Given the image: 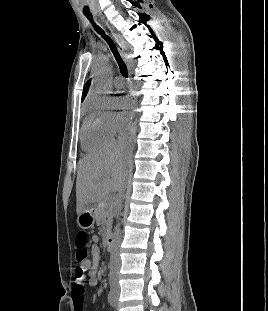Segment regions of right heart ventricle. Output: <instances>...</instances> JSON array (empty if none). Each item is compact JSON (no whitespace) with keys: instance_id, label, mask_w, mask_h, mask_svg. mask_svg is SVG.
Returning a JSON list of instances; mask_svg holds the SVG:
<instances>
[{"instance_id":"obj_1","label":"right heart ventricle","mask_w":268,"mask_h":311,"mask_svg":"<svg viewBox=\"0 0 268 311\" xmlns=\"http://www.w3.org/2000/svg\"><path fill=\"white\" fill-rule=\"evenodd\" d=\"M113 136L93 114L88 115L81 129V144L87 151H95L107 146Z\"/></svg>"}]
</instances>
